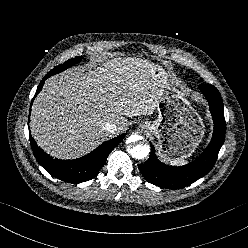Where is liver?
I'll use <instances>...</instances> for the list:
<instances>
[{
    "mask_svg": "<svg viewBox=\"0 0 248 248\" xmlns=\"http://www.w3.org/2000/svg\"><path fill=\"white\" fill-rule=\"evenodd\" d=\"M151 69L140 58H114L88 72L75 68L50 77L32 106L35 141L55 158L73 159L109 137L105 123L122 132L127 117L151 115L161 92Z\"/></svg>",
    "mask_w": 248,
    "mask_h": 248,
    "instance_id": "1",
    "label": "liver"
}]
</instances>
